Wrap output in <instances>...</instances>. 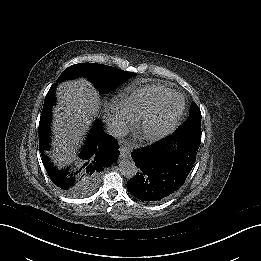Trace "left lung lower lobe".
I'll return each instance as SVG.
<instances>
[{"instance_id":"1","label":"left lung lower lobe","mask_w":261,"mask_h":261,"mask_svg":"<svg viewBox=\"0 0 261 261\" xmlns=\"http://www.w3.org/2000/svg\"><path fill=\"white\" fill-rule=\"evenodd\" d=\"M178 148L169 150L174 142ZM200 143L192 138L173 134L151 146L131 153L139 172L127 183L129 192L143 202L155 203L172 196L185 182Z\"/></svg>"}]
</instances>
